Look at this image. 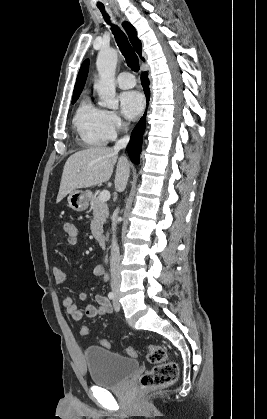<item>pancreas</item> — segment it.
<instances>
[{
	"label": "pancreas",
	"mask_w": 267,
	"mask_h": 419,
	"mask_svg": "<svg viewBox=\"0 0 267 419\" xmlns=\"http://www.w3.org/2000/svg\"><path fill=\"white\" fill-rule=\"evenodd\" d=\"M98 193H95L90 200V210L93 211V220L91 221V232L96 239H99L103 233V224L109 216L106 202L99 200Z\"/></svg>",
	"instance_id": "cf45deb5"
}]
</instances>
